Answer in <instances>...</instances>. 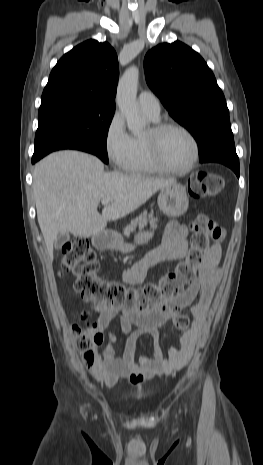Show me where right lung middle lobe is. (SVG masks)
Returning a JSON list of instances; mask_svg holds the SVG:
<instances>
[{
	"label": "right lung middle lobe",
	"instance_id": "right-lung-middle-lobe-1",
	"mask_svg": "<svg viewBox=\"0 0 263 465\" xmlns=\"http://www.w3.org/2000/svg\"><path fill=\"white\" fill-rule=\"evenodd\" d=\"M114 112L115 107L79 100L41 103L33 156H40L63 142H76L108 163L106 140Z\"/></svg>",
	"mask_w": 263,
	"mask_h": 465
}]
</instances>
